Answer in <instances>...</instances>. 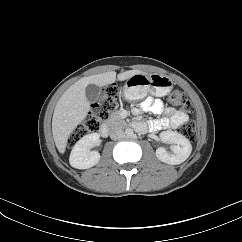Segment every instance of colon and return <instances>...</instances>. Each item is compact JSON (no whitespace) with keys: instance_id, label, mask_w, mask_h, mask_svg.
<instances>
[{"instance_id":"5ec220e1","label":"colon","mask_w":242,"mask_h":242,"mask_svg":"<svg viewBox=\"0 0 242 242\" xmlns=\"http://www.w3.org/2000/svg\"><path fill=\"white\" fill-rule=\"evenodd\" d=\"M119 97V87L115 84L108 85L98 103L92 106V109L86 119L70 135L69 145H74L84 136L99 131L102 124L108 119L111 112L116 109L117 99ZM167 102L170 106L180 110L191 112L192 105L187 97L178 90L170 93ZM181 133L189 140L193 141L196 137L195 125L188 122L181 127Z\"/></svg>"}]
</instances>
